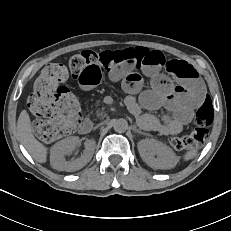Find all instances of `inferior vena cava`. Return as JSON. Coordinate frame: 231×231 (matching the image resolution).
I'll return each mask as SVG.
<instances>
[{"instance_id":"inferior-vena-cava-1","label":"inferior vena cava","mask_w":231,"mask_h":231,"mask_svg":"<svg viewBox=\"0 0 231 231\" xmlns=\"http://www.w3.org/2000/svg\"><path fill=\"white\" fill-rule=\"evenodd\" d=\"M103 127H104V124H103V123H100V124H96V125H95V128H96V129L103 128Z\"/></svg>"}]
</instances>
